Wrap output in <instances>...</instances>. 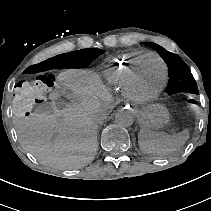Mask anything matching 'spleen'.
Returning <instances> with one entry per match:
<instances>
[{
	"mask_svg": "<svg viewBox=\"0 0 211 211\" xmlns=\"http://www.w3.org/2000/svg\"><path fill=\"white\" fill-rule=\"evenodd\" d=\"M188 137V129H184L175 135H169L163 132H152L143 127L138 134V141L144 152L148 154L162 155L173 151V149L180 145H183Z\"/></svg>",
	"mask_w": 211,
	"mask_h": 211,
	"instance_id": "obj_1",
	"label": "spleen"
}]
</instances>
